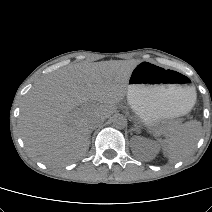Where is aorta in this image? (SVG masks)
<instances>
[{
    "mask_svg": "<svg viewBox=\"0 0 212 212\" xmlns=\"http://www.w3.org/2000/svg\"><path fill=\"white\" fill-rule=\"evenodd\" d=\"M112 122H113V126L118 129H122L127 125V119L122 114L114 115Z\"/></svg>",
    "mask_w": 212,
    "mask_h": 212,
    "instance_id": "762f6f07",
    "label": "aorta"
}]
</instances>
